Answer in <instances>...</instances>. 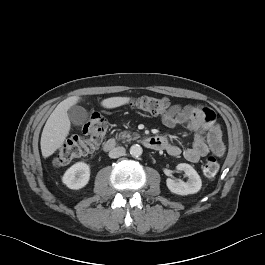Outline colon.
<instances>
[{"mask_svg":"<svg viewBox=\"0 0 265 265\" xmlns=\"http://www.w3.org/2000/svg\"><path fill=\"white\" fill-rule=\"evenodd\" d=\"M133 107L149 115L165 116L169 113L171 105L166 98L143 96L133 101ZM107 129V120L99 113L92 114L82 128V135L71 138L59 148L54 157V164L63 166L93 153L106 136ZM218 171V159L209 156L203 166L205 176L214 177Z\"/></svg>","mask_w":265,"mask_h":265,"instance_id":"obj_1","label":"colon"}]
</instances>
